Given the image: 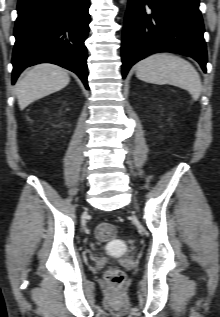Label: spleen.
<instances>
[{
	"label": "spleen",
	"mask_w": 220,
	"mask_h": 317,
	"mask_svg": "<svg viewBox=\"0 0 220 317\" xmlns=\"http://www.w3.org/2000/svg\"><path fill=\"white\" fill-rule=\"evenodd\" d=\"M138 79L154 84H171L187 90L198 99L202 84L199 73L185 59L171 53H156L139 61L136 66Z\"/></svg>",
	"instance_id": "spleen-1"
}]
</instances>
